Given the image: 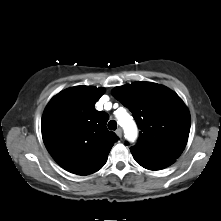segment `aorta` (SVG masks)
<instances>
[{
  "label": "aorta",
  "instance_id": "aorta-1",
  "mask_svg": "<svg viewBox=\"0 0 221 221\" xmlns=\"http://www.w3.org/2000/svg\"><path fill=\"white\" fill-rule=\"evenodd\" d=\"M119 124L124 128L125 136L128 140L134 141L137 137V128L132 118L124 113L118 117Z\"/></svg>",
  "mask_w": 221,
  "mask_h": 221
}]
</instances>
